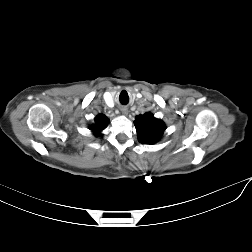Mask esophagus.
Returning a JSON list of instances; mask_svg holds the SVG:
<instances>
[{
    "instance_id": "esophagus-1",
    "label": "esophagus",
    "mask_w": 252,
    "mask_h": 252,
    "mask_svg": "<svg viewBox=\"0 0 252 252\" xmlns=\"http://www.w3.org/2000/svg\"><path fill=\"white\" fill-rule=\"evenodd\" d=\"M120 110H121V112H122L123 115H127L128 114V108L126 106H122L120 108Z\"/></svg>"
}]
</instances>
